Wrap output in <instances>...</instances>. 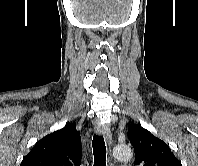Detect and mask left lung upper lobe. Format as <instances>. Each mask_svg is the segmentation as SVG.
I'll list each match as a JSON object with an SVG mask.
<instances>
[{
	"mask_svg": "<svg viewBox=\"0 0 198 166\" xmlns=\"http://www.w3.org/2000/svg\"><path fill=\"white\" fill-rule=\"evenodd\" d=\"M129 140L135 152V164L139 166H182L169 146L139 124L128 129Z\"/></svg>",
	"mask_w": 198,
	"mask_h": 166,
	"instance_id": "1",
	"label": "left lung upper lobe"
}]
</instances>
